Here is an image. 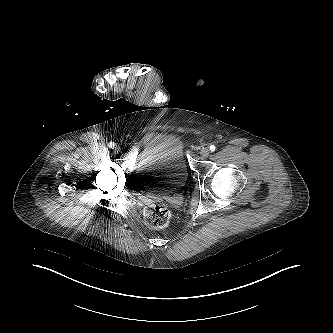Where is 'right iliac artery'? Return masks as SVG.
<instances>
[{
	"instance_id": "obj_1",
	"label": "right iliac artery",
	"mask_w": 333,
	"mask_h": 333,
	"mask_svg": "<svg viewBox=\"0 0 333 333\" xmlns=\"http://www.w3.org/2000/svg\"><path fill=\"white\" fill-rule=\"evenodd\" d=\"M108 146H109L110 148H114L115 144H114V142H110V143H108Z\"/></svg>"
}]
</instances>
